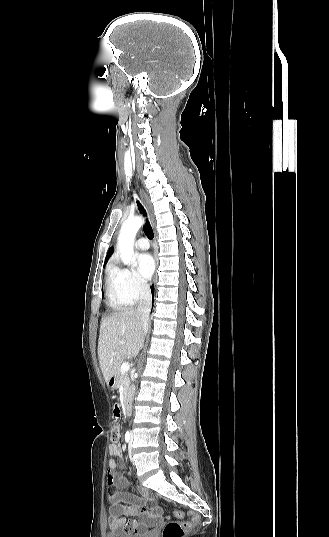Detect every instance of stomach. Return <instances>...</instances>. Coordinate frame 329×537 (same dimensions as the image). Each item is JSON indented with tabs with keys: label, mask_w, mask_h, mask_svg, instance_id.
<instances>
[{
	"label": "stomach",
	"mask_w": 329,
	"mask_h": 537,
	"mask_svg": "<svg viewBox=\"0 0 329 537\" xmlns=\"http://www.w3.org/2000/svg\"><path fill=\"white\" fill-rule=\"evenodd\" d=\"M107 384L109 388L114 389L116 387V377H111Z\"/></svg>",
	"instance_id": "stomach-1"
}]
</instances>
